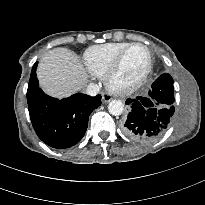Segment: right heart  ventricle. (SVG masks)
Returning <instances> with one entry per match:
<instances>
[{"label":"right heart ventricle","mask_w":205,"mask_h":205,"mask_svg":"<svg viewBox=\"0 0 205 205\" xmlns=\"http://www.w3.org/2000/svg\"><path fill=\"white\" fill-rule=\"evenodd\" d=\"M130 44L114 42L89 47L83 54L87 71L96 77L104 76L116 57Z\"/></svg>","instance_id":"e07e8e85"}]
</instances>
